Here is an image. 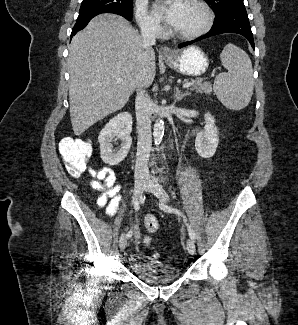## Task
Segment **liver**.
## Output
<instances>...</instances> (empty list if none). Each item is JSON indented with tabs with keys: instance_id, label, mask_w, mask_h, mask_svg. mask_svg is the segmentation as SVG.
I'll return each mask as SVG.
<instances>
[{
	"instance_id": "liver-1",
	"label": "liver",
	"mask_w": 298,
	"mask_h": 325,
	"mask_svg": "<svg viewBox=\"0 0 298 325\" xmlns=\"http://www.w3.org/2000/svg\"><path fill=\"white\" fill-rule=\"evenodd\" d=\"M69 110L74 134L125 106L156 76L154 48L119 14H98L69 44ZM123 78V82H117Z\"/></svg>"
}]
</instances>
